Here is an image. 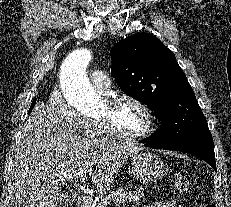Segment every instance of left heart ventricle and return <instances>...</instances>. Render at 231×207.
<instances>
[{
  "label": "left heart ventricle",
  "instance_id": "b2bd125f",
  "mask_svg": "<svg viewBox=\"0 0 231 207\" xmlns=\"http://www.w3.org/2000/svg\"><path fill=\"white\" fill-rule=\"evenodd\" d=\"M108 108L104 102L99 116L106 114ZM114 126L123 134L136 135L142 132L146 126V117L141 108L130 102H123L112 112Z\"/></svg>",
  "mask_w": 231,
  "mask_h": 207
}]
</instances>
